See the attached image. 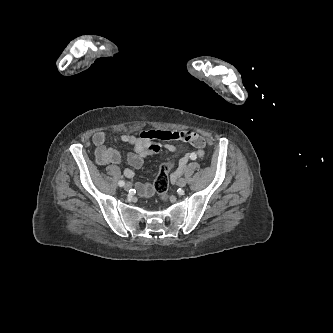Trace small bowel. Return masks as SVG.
<instances>
[{"label":"small bowel","mask_w":333,"mask_h":333,"mask_svg":"<svg viewBox=\"0 0 333 333\" xmlns=\"http://www.w3.org/2000/svg\"><path fill=\"white\" fill-rule=\"evenodd\" d=\"M106 139V134L101 131L93 135L95 160L101 166L117 165L120 162V154L106 146ZM120 140L133 148V151L127 157L132 168H127L124 171V175L128 178L134 177V169L140 168L147 156L157 154L163 147L168 151H175V145L169 143V141H189L197 147L196 151L190 152L181 158L177 169L171 176L173 183L181 176L190 160H196L203 155V148L206 144V139L203 136L191 131L147 130L141 132L139 136L124 134ZM157 140L166 141L167 143L161 145L156 142ZM137 189L143 197H151L153 194L149 184L141 183Z\"/></svg>","instance_id":"1"}]
</instances>
